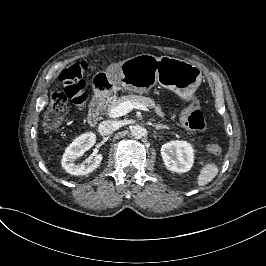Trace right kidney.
Returning a JSON list of instances; mask_svg holds the SVG:
<instances>
[{
  "label": "right kidney",
  "instance_id": "right-kidney-1",
  "mask_svg": "<svg viewBox=\"0 0 266 266\" xmlns=\"http://www.w3.org/2000/svg\"><path fill=\"white\" fill-rule=\"evenodd\" d=\"M96 144V135L94 133H86L76 138L73 143L66 149L64 154H67L74 162L75 175H87L100 165L103 155L98 153L88 162L76 164L75 160L82 157L83 154Z\"/></svg>",
  "mask_w": 266,
  "mask_h": 266
}]
</instances>
